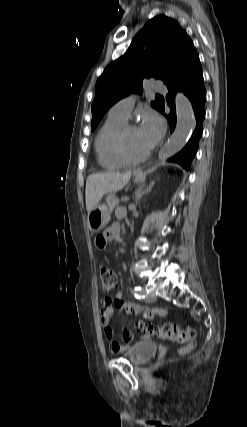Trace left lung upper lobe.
<instances>
[{"instance_id":"left-lung-upper-lobe-1","label":"left lung upper lobe","mask_w":247,"mask_h":427,"mask_svg":"<svg viewBox=\"0 0 247 427\" xmlns=\"http://www.w3.org/2000/svg\"><path fill=\"white\" fill-rule=\"evenodd\" d=\"M198 57L193 42L179 23L159 15L135 36L124 56L110 63L96 83L92 103V131L106 111L131 92L142 90L143 80L160 79L168 84ZM159 110L161 104L152 102Z\"/></svg>"}]
</instances>
